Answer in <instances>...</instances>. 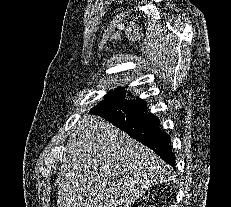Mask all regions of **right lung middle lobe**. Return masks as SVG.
I'll list each match as a JSON object with an SVG mask.
<instances>
[{"instance_id": "1", "label": "right lung middle lobe", "mask_w": 231, "mask_h": 207, "mask_svg": "<svg viewBox=\"0 0 231 207\" xmlns=\"http://www.w3.org/2000/svg\"><path fill=\"white\" fill-rule=\"evenodd\" d=\"M126 91L123 88H117L114 91H111L105 98L104 101L108 103H113L119 100H122L125 96Z\"/></svg>"}]
</instances>
